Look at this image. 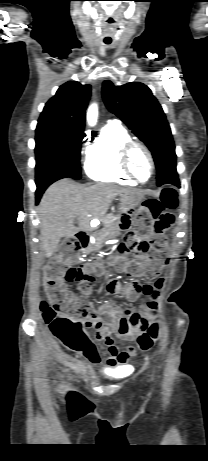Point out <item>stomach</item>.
Listing matches in <instances>:
<instances>
[{
	"mask_svg": "<svg viewBox=\"0 0 208 461\" xmlns=\"http://www.w3.org/2000/svg\"><path fill=\"white\" fill-rule=\"evenodd\" d=\"M143 197L142 192H135L130 194H123L121 195V206L120 211L121 214H126L125 208L130 206L132 209H135L137 206L140 205L141 199ZM120 214V215H121ZM120 215L118 216V220L109 228L102 230L100 233L96 235V243L95 246L92 248H99L103 244L105 240L112 239L117 237L120 234Z\"/></svg>",
	"mask_w": 208,
	"mask_h": 461,
	"instance_id": "1",
	"label": "stomach"
}]
</instances>
